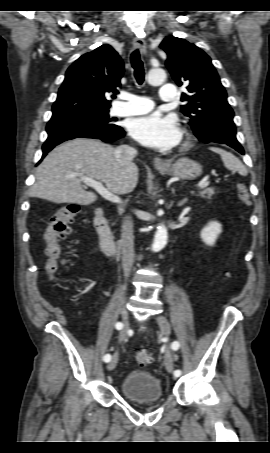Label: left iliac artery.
<instances>
[{
  "label": "left iliac artery",
  "instance_id": "1",
  "mask_svg": "<svg viewBox=\"0 0 270 453\" xmlns=\"http://www.w3.org/2000/svg\"><path fill=\"white\" fill-rule=\"evenodd\" d=\"M171 348H172L173 350H178V348H179V343H178L177 341H174V342L172 343V345H171ZM174 375H175L176 377H179V376L181 375V370H175V371H174Z\"/></svg>",
  "mask_w": 270,
  "mask_h": 453
}]
</instances>
